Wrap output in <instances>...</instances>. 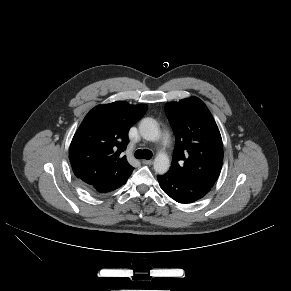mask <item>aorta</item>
Masks as SVG:
<instances>
[{
    "instance_id": "aorta-1",
    "label": "aorta",
    "mask_w": 291,
    "mask_h": 291,
    "mask_svg": "<svg viewBox=\"0 0 291 291\" xmlns=\"http://www.w3.org/2000/svg\"><path fill=\"white\" fill-rule=\"evenodd\" d=\"M139 131L141 136L148 141H157L159 139L158 123L153 118H144L139 124ZM154 170L158 174H165L170 167V161L164 152H159L153 164Z\"/></svg>"
}]
</instances>
